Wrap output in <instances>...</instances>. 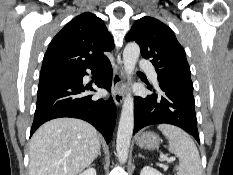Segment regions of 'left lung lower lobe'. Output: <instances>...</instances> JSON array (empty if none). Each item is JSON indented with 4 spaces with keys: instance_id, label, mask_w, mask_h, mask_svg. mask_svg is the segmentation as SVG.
Listing matches in <instances>:
<instances>
[{
    "instance_id": "obj_1",
    "label": "left lung lower lobe",
    "mask_w": 233,
    "mask_h": 175,
    "mask_svg": "<svg viewBox=\"0 0 233 175\" xmlns=\"http://www.w3.org/2000/svg\"><path fill=\"white\" fill-rule=\"evenodd\" d=\"M154 94L135 97L133 134L153 124H172L191 134L199 143L193 87L178 83H159Z\"/></svg>"
}]
</instances>
